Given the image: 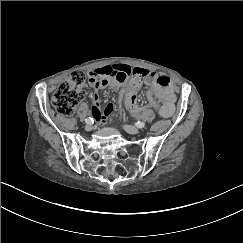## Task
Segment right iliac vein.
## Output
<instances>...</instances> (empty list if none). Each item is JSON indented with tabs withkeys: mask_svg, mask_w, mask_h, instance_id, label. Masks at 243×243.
<instances>
[{
	"mask_svg": "<svg viewBox=\"0 0 243 243\" xmlns=\"http://www.w3.org/2000/svg\"><path fill=\"white\" fill-rule=\"evenodd\" d=\"M92 128H93V126H92L91 124H87V125L85 126V130H86V131H91Z\"/></svg>",
	"mask_w": 243,
	"mask_h": 243,
	"instance_id": "1",
	"label": "right iliac vein"
}]
</instances>
